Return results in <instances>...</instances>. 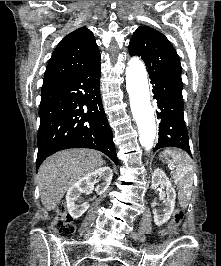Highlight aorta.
Instances as JSON below:
<instances>
[{
	"label": "aorta",
	"instance_id": "1",
	"mask_svg": "<svg viewBox=\"0 0 221 266\" xmlns=\"http://www.w3.org/2000/svg\"><path fill=\"white\" fill-rule=\"evenodd\" d=\"M126 89L130 107L136 121L139 141L149 151L156 137L154 110L150 102L147 72L144 63L137 57L128 62L126 68Z\"/></svg>",
	"mask_w": 221,
	"mask_h": 266
}]
</instances>
